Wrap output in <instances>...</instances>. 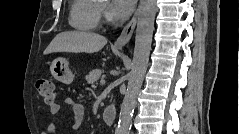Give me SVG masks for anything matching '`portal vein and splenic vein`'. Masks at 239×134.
<instances>
[{"mask_svg":"<svg viewBox=\"0 0 239 134\" xmlns=\"http://www.w3.org/2000/svg\"><path fill=\"white\" fill-rule=\"evenodd\" d=\"M100 82H101V83H105V80L102 79Z\"/></svg>","mask_w":239,"mask_h":134,"instance_id":"obj_1","label":"portal vein and splenic vein"}]
</instances>
